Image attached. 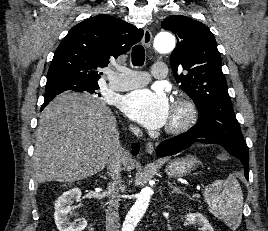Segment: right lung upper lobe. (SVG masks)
Masks as SVG:
<instances>
[{
    "mask_svg": "<svg viewBox=\"0 0 268 231\" xmlns=\"http://www.w3.org/2000/svg\"><path fill=\"white\" fill-rule=\"evenodd\" d=\"M143 30L106 14L71 28L54 53L47 74L50 86L61 82L98 85L101 69L139 42ZM51 98H45L47 105Z\"/></svg>",
    "mask_w": 268,
    "mask_h": 231,
    "instance_id": "cb5924a9",
    "label": "right lung upper lobe"
}]
</instances>
